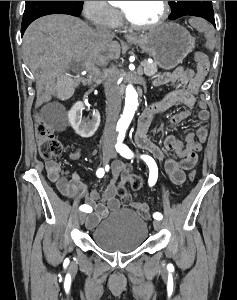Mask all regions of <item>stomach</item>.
<instances>
[{
    "instance_id": "1",
    "label": "stomach",
    "mask_w": 237,
    "mask_h": 300,
    "mask_svg": "<svg viewBox=\"0 0 237 300\" xmlns=\"http://www.w3.org/2000/svg\"><path fill=\"white\" fill-rule=\"evenodd\" d=\"M129 41L153 57L161 69H174L195 47L194 37L177 23H163L149 31L134 33Z\"/></svg>"
}]
</instances>
